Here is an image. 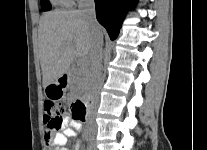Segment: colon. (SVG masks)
<instances>
[{
    "label": "colon",
    "instance_id": "obj_1",
    "mask_svg": "<svg viewBox=\"0 0 207 150\" xmlns=\"http://www.w3.org/2000/svg\"><path fill=\"white\" fill-rule=\"evenodd\" d=\"M67 114L66 105L60 101L47 100L44 105V124L47 133L44 134L45 138L49 137V134L60 131L65 123ZM72 115L74 118H81L80 113L72 108Z\"/></svg>",
    "mask_w": 207,
    "mask_h": 150
}]
</instances>
